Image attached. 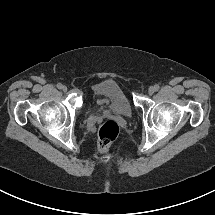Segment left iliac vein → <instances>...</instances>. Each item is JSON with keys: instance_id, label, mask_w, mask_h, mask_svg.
Instances as JSON below:
<instances>
[{"instance_id": "4c4485c4", "label": "left iliac vein", "mask_w": 215, "mask_h": 215, "mask_svg": "<svg viewBox=\"0 0 215 215\" xmlns=\"http://www.w3.org/2000/svg\"><path fill=\"white\" fill-rule=\"evenodd\" d=\"M155 92V88L153 86L149 87L148 93L152 95Z\"/></svg>"}]
</instances>
